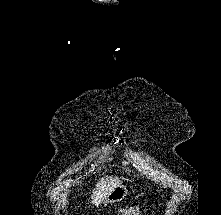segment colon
<instances>
[{
	"instance_id": "1",
	"label": "colon",
	"mask_w": 221,
	"mask_h": 215,
	"mask_svg": "<svg viewBox=\"0 0 221 215\" xmlns=\"http://www.w3.org/2000/svg\"><path fill=\"white\" fill-rule=\"evenodd\" d=\"M140 207L138 204H132L128 208L122 209L118 215H138Z\"/></svg>"
}]
</instances>
